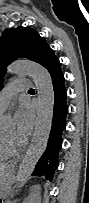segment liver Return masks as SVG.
Here are the masks:
<instances>
[{"label":"liver","mask_w":89,"mask_h":203,"mask_svg":"<svg viewBox=\"0 0 89 203\" xmlns=\"http://www.w3.org/2000/svg\"><path fill=\"white\" fill-rule=\"evenodd\" d=\"M9 165L7 163H2L0 165V177H1V182H2V178L5 174V171H6V168L8 167Z\"/></svg>","instance_id":"obj_1"}]
</instances>
